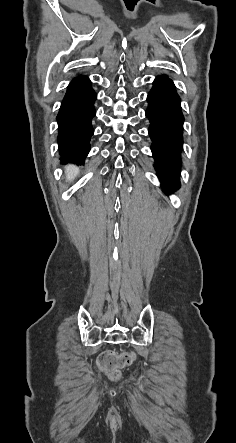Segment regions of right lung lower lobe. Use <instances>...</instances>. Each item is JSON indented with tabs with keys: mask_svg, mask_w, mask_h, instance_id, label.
<instances>
[{
	"mask_svg": "<svg viewBox=\"0 0 236 443\" xmlns=\"http://www.w3.org/2000/svg\"><path fill=\"white\" fill-rule=\"evenodd\" d=\"M96 93L85 76L74 78L67 87L57 116L60 160L83 164L93 135L91 120Z\"/></svg>",
	"mask_w": 236,
	"mask_h": 443,
	"instance_id": "98d812e1",
	"label": "right lung lower lobe"
}]
</instances>
